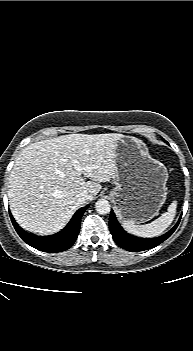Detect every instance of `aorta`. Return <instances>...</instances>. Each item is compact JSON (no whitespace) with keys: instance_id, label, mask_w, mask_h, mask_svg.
Instances as JSON below:
<instances>
[{"instance_id":"762f6f07","label":"aorta","mask_w":193,"mask_h":351,"mask_svg":"<svg viewBox=\"0 0 193 351\" xmlns=\"http://www.w3.org/2000/svg\"><path fill=\"white\" fill-rule=\"evenodd\" d=\"M95 208L99 214H108L110 212V204L105 199H99L95 203Z\"/></svg>"}]
</instances>
